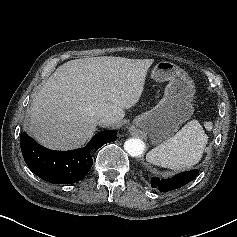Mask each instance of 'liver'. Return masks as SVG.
I'll use <instances>...</instances> for the list:
<instances>
[{"instance_id": "liver-1", "label": "liver", "mask_w": 237, "mask_h": 237, "mask_svg": "<svg viewBox=\"0 0 237 237\" xmlns=\"http://www.w3.org/2000/svg\"><path fill=\"white\" fill-rule=\"evenodd\" d=\"M153 59L91 57L68 61L56 69L31 103L28 132L42 145L66 150L84 144L111 115L119 124L144 89Z\"/></svg>"}]
</instances>
